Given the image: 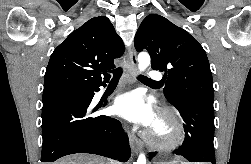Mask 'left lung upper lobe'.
Returning a JSON list of instances; mask_svg holds the SVG:
<instances>
[{
	"mask_svg": "<svg viewBox=\"0 0 251 164\" xmlns=\"http://www.w3.org/2000/svg\"><path fill=\"white\" fill-rule=\"evenodd\" d=\"M137 51L147 50L154 70L165 71L164 95L173 105L184 99L214 102L209 61L202 46L184 29L150 14L134 39Z\"/></svg>",
	"mask_w": 251,
	"mask_h": 164,
	"instance_id": "5c2ea615",
	"label": "left lung upper lobe"
}]
</instances>
